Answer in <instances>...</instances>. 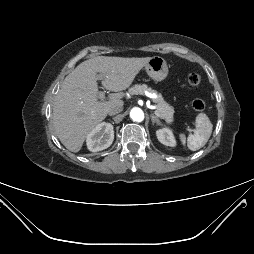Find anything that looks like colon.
<instances>
[{
	"label": "colon",
	"instance_id": "5ec220e1",
	"mask_svg": "<svg viewBox=\"0 0 254 254\" xmlns=\"http://www.w3.org/2000/svg\"><path fill=\"white\" fill-rule=\"evenodd\" d=\"M187 81L190 86H198L201 83V76L197 73H190ZM192 107L196 112H201L205 108V102L201 98H196L192 102Z\"/></svg>",
	"mask_w": 254,
	"mask_h": 254
}]
</instances>
